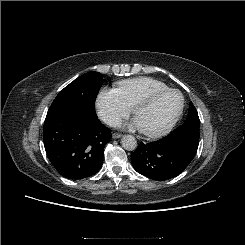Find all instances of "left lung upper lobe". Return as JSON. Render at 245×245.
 Returning <instances> with one entry per match:
<instances>
[{
    "instance_id": "left-lung-upper-lobe-1",
    "label": "left lung upper lobe",
    "mask_w": 245,
    "mask_h": 245,
    "mask_svg": "<svg viewBox=\"0 0 245 245\" xmlns=\"http://www.w3.org/2000/svg\"><path fill=\"white\" fill-rule=\"evenodd\" d=\"M167 137H192L199 139V117L192 102L189 104V112L185 123L173 130Z\"/></svg>"
}]
</instances>
